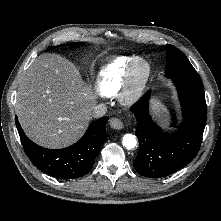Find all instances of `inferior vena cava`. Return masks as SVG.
<instances>
[{
	"label": "inferior vena cava",
	"instance_id": "inferior-vena-cava-1",
	"mask_svg": "<svg viewBox=\"0 0 221 221\" xmlns=\"http://www.w3.org/2000/svg\"><path fill=\"white\" fill-rule=\"evenodd\" d=\"M106 112H107L106 105L105 104H98L94 107V109L92 111V116L94 118H100V117L104 116Z\"/></svg>",
	"mask_w": 221,
	"mask_h": 221
}]
</instances>
